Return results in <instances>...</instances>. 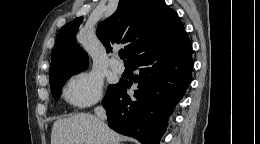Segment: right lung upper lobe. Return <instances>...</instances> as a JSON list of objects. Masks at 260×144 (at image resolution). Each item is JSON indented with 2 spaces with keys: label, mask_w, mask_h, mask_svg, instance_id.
I'll return each instance as SVG.
<instances>
[{
  "label": "right lung upper lobe",
  "mask_w": 260,
  "mask_h": 144,
  "mask_svg": "<svg viewBox=\"0 0 260 144\" xmlns=\"http://www.w3.org/2000/svg\"><path fill=\"white\" fill-rule=\"evenodd\" d=\"M82 21V17L76 18L60 29L52 51L49 76L87 67L88 55L75 38ZM185 33L178 14L164 0H120L115 13L100 22L97 29V36L107 52L113 44H124L129 61L177 41Z\"/></svg>",
  "instance_id": "1"
}]
</instances>
